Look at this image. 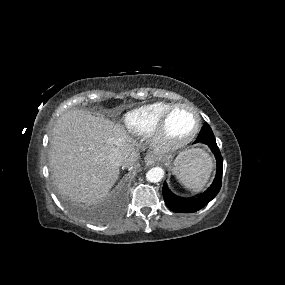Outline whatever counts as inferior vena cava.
Masks as SVG:
<instances>
[{
    "label": "inferior vena cava",
    "instance_id": "602c4592",
    "mask_svg": "<svg viewBox=\"0 0 285 285\" xmlns=\"http://www.w3.org/2000/svg\"><path fill=\"white\" fill-rule=\"evenodd\" d=\"M112 161L118 166H121V165L123 166V164H124V160H123L122 156L119 154L113 155Z\"/></svg>",
    "mask_w": 285,
    "mask_h": 285
}]
</instances>
